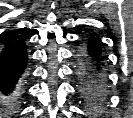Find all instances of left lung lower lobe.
Instances as JSON below:
<instances>
[{
    "label": "left lung lower lobe",
    "mask_w": 133,
    "mask_h": 118,
    "mask_svg": "<svg viewBox=\"0 0 133 118\" xmlns=\"http://www.w3.org/2000/svg\"><path fill=\"white\" fill-rule=\"evenodd\" d=\"M80 58L82 60L81 88L90 89L107 98L105 77V55L101 41L91 36L87 41L81 42Z\"/></svg>",
    "instance_id": "obj_1"
}]
</instances>
